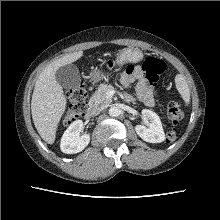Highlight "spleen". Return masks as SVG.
Listing matches in <instances>:
<instances>
[{
	"mask_svg": "<svg viewBox=\"0 0 220 220\" xmlns=\"http://www.w3.org/2000/svg\"><path fill=\"white\" fill-rule=\"evenodd\" d=\"M175 82H176V88L178 92L181 94L185 102V105H188L190 102V90L185 78L181 74H178L175 77Z\"/></svg>",
	"mask_w": 220,
	"mask_h": 220,
	"instance_id": "3e777b00",
	"label": "spleen"
}]
</instances>
